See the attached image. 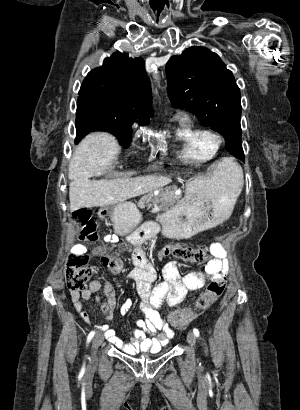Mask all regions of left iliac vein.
I'll return each mask as SVG.
<instances>
[{
    "instance_id": "obj_1",
    "label": "left iliac vein",
    "mask_w": 300,
    "mask_h": 410,
    "mask_svg": "<svg viewBox=\"0 0 300 410\" xmlns=\"http://www.w3.org/2000/svg\"><path fill=\"white\" fill-rule=\"evenodd\" d=\"M187 341H188L189 345H190L193 349H195V347H196V336H195V334H194L193 332L189 331V332L187 333Z\"/></svg>"
}]
</instances>
